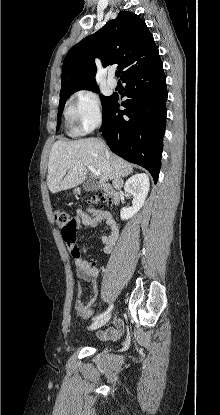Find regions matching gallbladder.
<instances>
[{
  "label": "gallbladder",
  "instance_id": "bac80fb5",
  "mask_svg": "<svg viewBox=\"0 0 220 415\" xmlns=\"http://www.w3.org/2000/svg\"><path fill=\"white\" fill-rule=\"evenodd\" d=\"M96 187V184L91 182L90 179H86L84 182V188L85 190H93Z\"/></svg>",
  "mask_w": 220,
  "mask_h": 415
}]
</instances>
